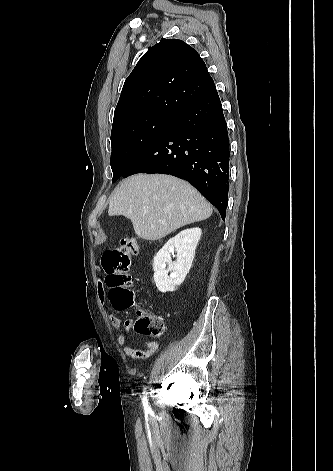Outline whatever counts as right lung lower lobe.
Masks as SVG:
<instances>
[{"label": "right lung lower lobe", "instance_id": "obj_1", "mask_svg": "<svg viewBox=\"0 0 333 471\" xmlns=\"http://www.w3.org/2000/svg\"><path fill=\"white\" fill-rule=\"evenodd\" d=\"M229 138L215 85L183 107L121 177L163 173L191 183L225 220Z\"/></svg>", "mask_w": 333, "mask_h": 471}]
</instances>
